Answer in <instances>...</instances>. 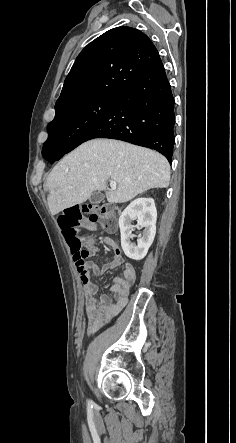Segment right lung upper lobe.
I'll list each match as a JSON object with an SVG mask.
<instances>
[{"label":"right lung upper lobe","mask_w":236,"mask_h":443,"mask_svg":"<svg viewBox=\"0 0 236 443\" xmlns=\"http://www.w3.org/2000/svg\"><path fill=\"white\" fill-rule=\"evenodd\" d=\"M152 41L131 27L111 29L78 55L55 105V114L99 94L118 95L159 59Z\"/></svg>","instance_id":"cb5924a9"}]
</instances>
